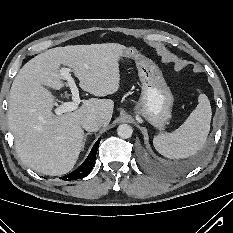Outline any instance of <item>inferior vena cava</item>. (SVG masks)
<instances>
[{
	"mask_svg": "<svg viewBox=\"0 0 233 233\" xmlns=\"http://www.w3.org/2000/svg\"><path fill=\"white\" fill-rule=\"evenodd\" d=\"M102 125V120L93 114L86 115L81 121V126L86 131H98Z\"/></svg>",
	"mask_w": 233,
	"mask_h": 233,
	"instance_id": "1",
	"label": "inferior vena cava"
}]
</instances>
